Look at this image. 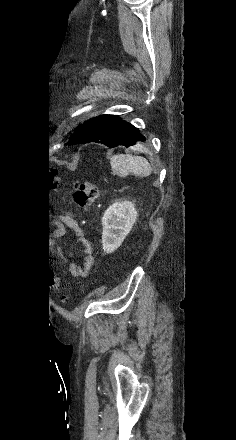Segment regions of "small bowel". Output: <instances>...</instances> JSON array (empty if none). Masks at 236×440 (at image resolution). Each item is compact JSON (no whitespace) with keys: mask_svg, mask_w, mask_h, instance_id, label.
Segmentation results:
<instances>
[{"mask_svg":"<svg viewBox=\"0 0 236 440\" xmlns=\"http://www.w3.org/2000/svg\"><path fill=\"white\" fill-rule=\"evenodd\" d=\"M66 225L73 231V235L76 238L78 244L82 247L83 261L82 263H72L70 265V273L74 278H82L89 275L93 264L92 246L83 235V231L79 226L76 218L71 214L61 216L56 222V234H62V227Z\"/></svg>","mask_w":236,"mask_h":440,"instance_id":"obj_1","label":"small bowel"}]
</instances>
